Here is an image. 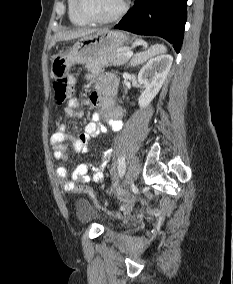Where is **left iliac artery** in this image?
Wrapping results in <instances>:
<instances>
[{
    "label": "left iliac artery",
    "instance_id": "obj_1",
    "mask_svg": "<svg viewBox=\"0 0 233 284\" xmlns=\"http://www.w3.org/2000/svg\"><path fill=\"white\" fill-rule=\"evenodd\" d=\"M125 169H126L125 158L123 156H121L118 159V171H119L120 177H122L124 175Z\"/></svg>",
    "mask_w": 233,
    "mask_h": 284
}]
</instances>
